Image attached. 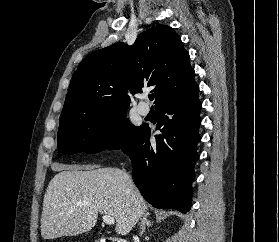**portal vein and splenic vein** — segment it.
<instances>
[{
    "label": "portal vein and splenic vein",
    "instance_id": "1",
    "mask_svg": "<svg viewBox=\"0 0 279 242\" xmlns=\"http://www.w3.org/2000/svg\"><path fill=\"white\" fill-rule=\"evenodd\" d=\"M102 219H103V222L108 225H114V223H115V219L112 216L107 215V214L103 215Z\"/></svg>",
    "mask_w": 279,
    "mask_h": 242
}]
</instances>
